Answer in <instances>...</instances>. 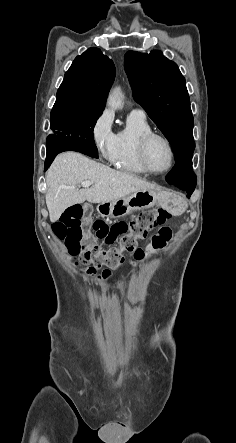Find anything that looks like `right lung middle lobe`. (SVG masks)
<instances>
[{
  "label": "right lung middle lobe",
  "instance_id": "right-lung-middle-lobe-1",
  "mask_svg": "<svg viewBox=\"0 0 236 443\" xmlns=\"http://www.w3.org/2000/svg\"><path fill=\"white\" fill-rule=\"evenodd\" d=\"M102 111L83 110L69 106H54L51 111L52 134L47 142L54 137H59L64 141L76 138L77 141L95 145L93 139V129Z\"/></svg>",
  "mask_w": 236,
  "mask_h": 443
}]
</instances>
